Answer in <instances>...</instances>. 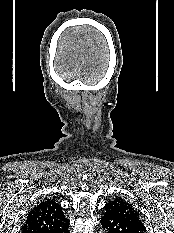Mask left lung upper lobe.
Instances as JSON below:
<instances>
[{"label": "left lung upper lobe", "instance_id": "5c2ea615", "mask_svg": "<svg viewBox=\"0 0 174 233\" xmlns=\"http://www.w3.org/2000/svg\"><path fill=\"white\" fill-rule=\"evenodd\" d=\"M105 211L116 217L125 218L134 222L143 224L139 212L132 206V204L116 197L110 201L105 207Z\"/></svg>", "mask_w": 174, "mask_h": 233}]
</instances>
